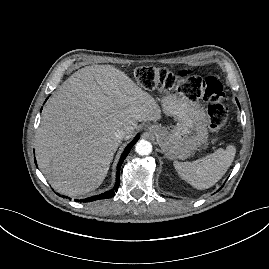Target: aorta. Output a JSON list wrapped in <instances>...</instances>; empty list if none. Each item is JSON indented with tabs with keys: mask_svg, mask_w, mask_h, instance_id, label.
Returning <instances> with one entry per match:
<instances>
[{
	"mask_svg": "<svg viewBox=\"0 0 269 269\" xmlns=\"http://www.w3.org/2000/svg\"><path fill=\"white\" fill-rule=\"evenodd\" d=\"M135 151L141 156L148 155L152 151V144L146 140H140L136 143Z\"/></svg>",
	"mask_w": 269,
	"mask_h": 269,
	"instance_id": "obj_1",
	"label": "aorta"
}]
</instances>
